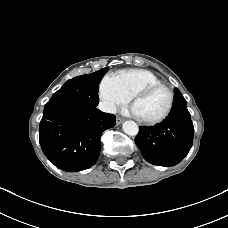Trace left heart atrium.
<instances>
[{
    "label": "left heart atrium",
    "mask_w": 228,
    "mask_h": 228,
    "mask_svg": "<svg viewBox=\"0 0 228 228\" xmlns=\"http://www.w3.org/2000/svg\"><path fill=\"white\" fill-rule=\"evenodd\" d=\"M131 111H132L133 114L139 116V115H138V112H137V110H136V108H135V106H133V107L131 108Z\"/></svg>",
    "instance_id": "left-heart-atrium-1"
}]
</instances>
